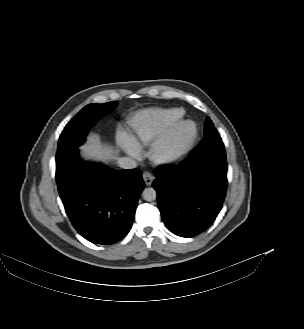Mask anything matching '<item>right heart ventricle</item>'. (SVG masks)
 <instances>
[{
    "label": "right heart ventricle",
    "instance_id": "1",
    "mask_svg": "<svg viewBox=\"0 0 304 329\" xmlns=\"http://www.w3.org/2000/svg\"><path fill=\"white\" fill-rule=\"evenodd\" d=\"M184 116L181 108L161 109L138 115L132 122V139L139 146H148L163 137Z\"/></svg>",
    "mask_w": 304,
    "mask_h": 329
}]
</instances>
